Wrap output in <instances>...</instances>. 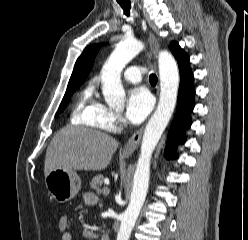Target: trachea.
<instances>
[{
    "mask_svg": "<svg viewBox=\"0 0 248 240\" xmlns=\"http://www.w3.org/2000/svg\"><path fill=\"white\" fill-rule=\"evenodd\" d=\"M120 6L122 7L124 14L126 16H130V9H131V3L128 0H117ZM149 81L152 84H156L158 81V78L155 74H151L149 77Z\"/></svg>",
    "mask_w": 248,
    "mask_h": 240,
    "instance_id": "3493384b",
    "label": "trachea"
}]
</instances>
